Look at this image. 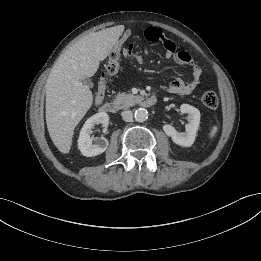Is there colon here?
<instances>
[{"instance_id": "colon-1", "label": "colon", "mask_w": 261, "mask_h": 261, "mask_svg": "<svg viewBox=\"0 0 261 261\" xmlns=\"http://www.w3.org/2000/svg\"><path fill=\"white\" fill-rule=\"evenodd\" d=\"M132 37L133 31L131 29H126L123 38L116 42L115 49L110 53L105 68L101 73L98 91H105L106 76L118 73L120 69V61L122 60L121 53L124 51V48L131 43ZM201 100L203 105L209 109H215L219 104V98L214 91H206L203 93Z\"/></svg>"}]
</instances>
